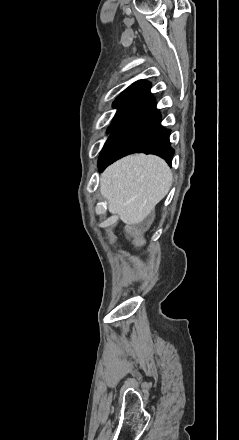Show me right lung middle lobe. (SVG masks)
I'll list each match as a JSON object with an SVG mask.
<instances>
[{"label": "right lung middle lobe", "mask_w": 239, "mask_h": 440, "mask_svg": "<svg viewBox=\"0 0 239 440\" xmlns=\"http://www.w3.org/2000/svg\"><path fill=\"white\" fill-rule=\"evenodd\" d=\"M130 102H114L113 107L118 108L117 113L111 123V125L108 128V132H111L113 128L115 127L116 123L120 119L121 115L125 111V109L128 107Z\"/></svg>", "instance_id": "right-lung-middle-lobe-1"}]
</instances>
